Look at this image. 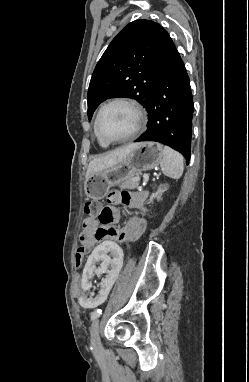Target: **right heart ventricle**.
<instances>
[{"label":"right heart ventricle","instance_id":"right-heart-ventricle-1","mask_svg":"<svg viewBox=\"0 0 249 382\" xmlns=\"http://www.w3.org/2000/svg\"><path fill=\"white\" fill-rule=\"evenodd\" d=\"M94 132H95V134H96L95 127H94ZM96 137H97V140H98L99 144H100L102 147H107V146H108V144L104 143L103 141H101V140L99 139V137L97 136V134H96Z\"/></svg>","mask_w":249,"mask_h":382}]
</instances>
